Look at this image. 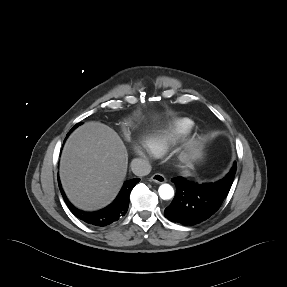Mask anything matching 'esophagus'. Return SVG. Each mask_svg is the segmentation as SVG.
Returning <instances> with one entry per match:
<instances>
[{"label": "esophagus", "mask_w": 287, "mask_h": 287, "mask_svg": "<svg viewBox=\"0 0 287 287\" xmlns=\"http://www.w3.org/2000/svg\"><path fill=\"white\" fill-rule=\"evenodd\" d=\"M150 180L152 182L161 184V183H164L166 181V178L164 177V175L156 173V174L151 176Z\"/></svg>", "instance_id": "1"}]
</instances>
